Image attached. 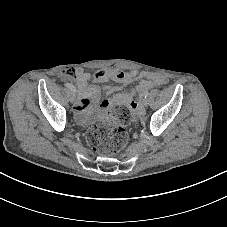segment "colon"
Listing matches in <instances>:
<instances>
[{
    "label": "colon",
    "mask_w": 227,
    "mask_h": 227,
    "mask_svg": "<svg viewBox=\"0 0 227 227\" xmlns=\"http://www.w3.org/2000/svg\"><path fill=\"white\" fill-rule=\"evenodd\" d=\"M63 74L67 78H74L76 71L73 68H66ZM129 114L120 111L117 119L106 118L92 125L87 132V141L91 148L103 156H112L119 152L128 141L126 123Z\"/></svg>",
    "instance_id": "5ec220e1"
}]
</instances>
